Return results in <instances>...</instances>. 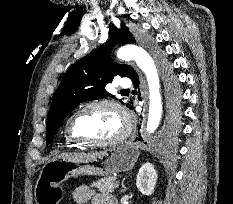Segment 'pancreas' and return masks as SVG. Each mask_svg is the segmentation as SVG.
Masks as SVG:
<instances>
[{
	"label": "pancreas",
	"instance_id": "obj_1",
	"mask_svg": "<svg viewBox=\"0 0 233 204\" xmlns=\"http://www.w3.org/2000/svg\"><path fill=\"white\" fill-rule=\"evenodd\" d=\"M118 181L113 176L101 178L92 183L91 187L96 188L101 193H111L118 188Z\"/></svg>",
	"mask_w": 233,
	"mask_h": 204
}]
</instances>
